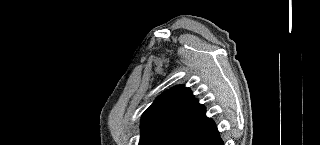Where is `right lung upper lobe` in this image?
Segmentation results:
<instances>
[{
	"label": "right lung upper lobe",
	"mask_w": 320,
	"mask_h": 145,
	"mask_svg": "<svg viewBox=\"0 0 320 145\" xmlns=\"http://www.w3.org/2000/svg\"><path fill=\"white\" fill-rule=\"evenodd\" d=\"M210 120L189 88L175 86L160 95L142 115L140 143L157 135H177Z\"/></svg>",
	"instance_id": "obj_1"
}]
</instances>
